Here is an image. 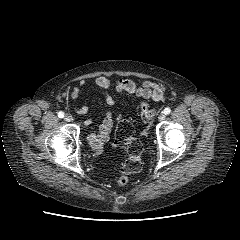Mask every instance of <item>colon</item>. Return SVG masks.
Wrapping results in <instances>:
<instances>
[{
  "mask_svg": "<svg viewBox=\"0 0 240 240\" xmlns=\"http://www.w3.org/2000/svg\"><path fill=\"white\" fill-rule=\"evenodd\" d=\"M141 115L146 121L152 119L155 111L151 109L146 103L141 105ZM115 144L117 146L125 147L128 153V159L123 166V174L118 178L117 184L124 186L129 181V175L139 173L142 169L141 154L142 144L133 137V126L126 118H121L115 132Z\"/></svg>",
  "mask_w": 240,
  "mask_h": 240,
  "instance_id": "colon-1",
  "label": "colon"
}]
</instances>
